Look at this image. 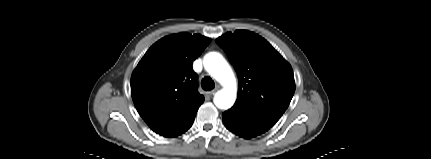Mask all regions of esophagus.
Listing matches in <instances>:
<instances>
[{
  "label": "esophagus",
  "mask_w": 431,
  "mask_h": 159,
  "mask_svg": "<svg viewBox=\"0 0 431 159\" xmlns=\"http://www.w3.org/2000/svg\"><path fill=\"white\" fill-rule=\"evenodd\" d=\"M218 90V87L217 88H215L214 90H211V91H209V92H207V95L209 96V97H212L215 93H216V91Z\"/></svg>",
  "instance_id": "1"
}]
</instances>
